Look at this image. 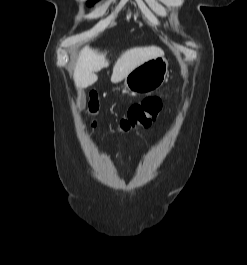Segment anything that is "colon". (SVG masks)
Returning a JSON list of instances; mask_svg holds the SVG:
<instances>
[{
    "label": "colon",
    "mask_w": 247,
    "mask_h": 265,
    "mask_svg": "<svg viewBox=\"0 0 247 265\" xmlns=\"http://www.w3.org/2000/svg\"><path fill=\"white\" fill-rule=\"evenodd\" d=\"M162 107L163 98L159 96L147 97L141 102L133 104L128 109L127 114L120 120L117 130L128 132L138 127H149L159 115ZM98 108L96 94L93 92L89 102V111L94 114L98 111Z\"/></svg>",
    "instance_id": "colon-1"
}]
</instances>
